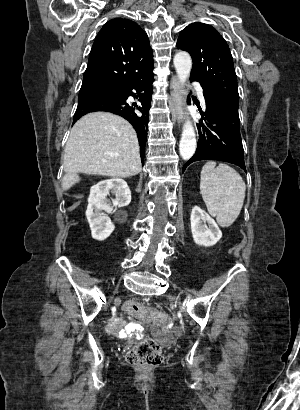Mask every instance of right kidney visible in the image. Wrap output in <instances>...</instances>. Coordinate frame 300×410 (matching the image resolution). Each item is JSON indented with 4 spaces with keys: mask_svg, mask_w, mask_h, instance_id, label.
<instances>
[{
    "mask_svg": "<svg viewBox=\"0 0 300 410\" xmlns=\"http://www.w3.org/2000/svg\"><path fill=\"white\" fill-rule=\"evenodd\" d=\"M110 193L115 195L112 202L108 199ZM130 202L131 191L123 179L102 180L92 186L86 210L92 237L99 241L109 237L115 226L108 214L113 213L117 207L122 208L129 205Z\"/></svg>",
    "mask_w": 300,
    "mask_h": 410,
    "instance_id": "ca27d5eb",
    "label": "right kidney"
}]
</instances>
